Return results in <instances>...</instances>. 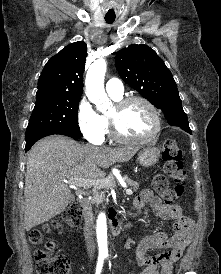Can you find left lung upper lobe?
<instances>
[{
	"label": "left lung upper lobe",
	"mask_w": 221,
	"mask_h": 274,
	"mask_svg": "<svg viewBox=\"0 0 221 274\" xmlns=\"http://www.w3.org/2000/svg\"><path fill=\"white\" fill-rule=\"evenodd\" d=\"M120 77L165 113L169 124H187L176 82L156 52L146 45H131L115 58Z\"/></svg>",
	"instance_id": "1"
}]
</instances>
